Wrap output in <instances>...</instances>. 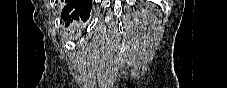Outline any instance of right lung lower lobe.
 <instances>
[{"label":"right lung lower lobe","instance_id":"1","mask_svg":"<svg viewBox=\"0 0 227 88\" xmlns=\"http://www.w3.org/2000/svg\"><path fill=\"white\" fill-rule=\"evenodd\" d=\"M62 18L67 21H87L92 7V0H65Z\"/></svg>","mask_w":227,"mask_h":88}]
</instances>
